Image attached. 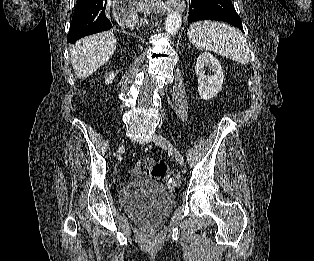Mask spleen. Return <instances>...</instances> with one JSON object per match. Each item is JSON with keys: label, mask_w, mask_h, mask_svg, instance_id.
I'll use <instances>...</instances> for the list:
<instances>
[{"label": "spleen", "mask_w": 314, "mask_h": 261, "mask_svg": "<svg viewBox=\"0 0 314 261\" xmlns=\"http://www.w3.org/2000/svg\"><path fill=\"white\" fill-rule=\"evenodd\" d=\"M187 34L199 50L213 51L242 65L250 61V48L244 35L230 25L198 21L190 26Z\"/></svg>", "instance_id": "1"}]
</instances>
